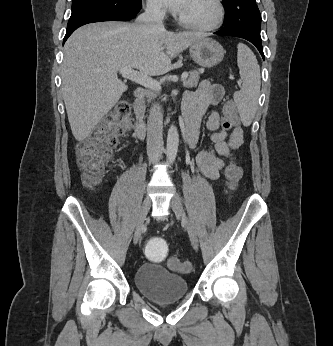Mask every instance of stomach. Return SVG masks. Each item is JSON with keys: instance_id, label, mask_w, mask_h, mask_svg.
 Instances as JSON below:
<instances>
[{"instance_id": "1", "label": "stomach", "mask_w": 333, "mask_h": 346, "mask_svg": "<svg viewBox=\"0 0 333 346\" xmlns=\"http://www.w3.org/2000/svg\"><path fill=\"white\" fill-rule=\"evenodd\" d=\"M190 55L200 66L211 68L218 65L224 57L223 47L211 38H202L190 45Z\"/></svg>"}]
</instances>
